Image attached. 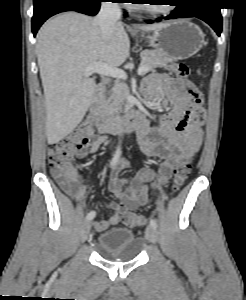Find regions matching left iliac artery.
Segmentation results:
<instances>
[{
  "label": "left iliac artery",
  "instance_id": "44dca946",
  "mask_svg": "<svg viewBox=\"0 0 246 300\" xmlns=\"http://www.w3.org/2000/svg\"><path fill=\"white\" fill-rule=\"evenodd\" d=\"M150 225L157 228V221L155 219H150Z\"/></svg>",
  "mask_w": 246,
  "mask_h": 300
}]
</instances>
